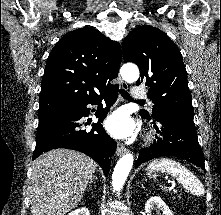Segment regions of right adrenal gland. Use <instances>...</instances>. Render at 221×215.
<instances>
[{"label": "right adrenal gland", "mask_w": 221, "mask_h": 215, "mask_svg": "<svg viewBox=\"0 0 221 215\" xmlns=\"http://www.w3.org/2000/svg\"><path fill=\"white\" fill-rule=\"evenodd\" d=\"M96 179H97V177L94 176V177L89 181V184H91V183L93 182V180H96Z\"/></svg>", "instance_id": "right-adrenal-gland-1"}]
</instances>
